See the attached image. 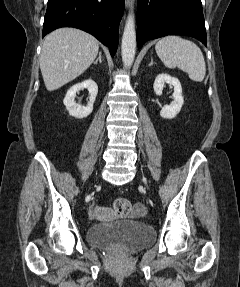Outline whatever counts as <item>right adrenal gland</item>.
<instances>
[{
    "label": "right adrenal gland",
    "instance_id": "1",
    "mask_svg": "<svg viewBox=\"0 0 240 287\" xmlns=\"http://www.w3.org/2000/svg\"><path fill=\"white\" fill-rule=\"evenodd\" d=\"M101 57H102V52L100 51V52H99V57L96 59V61L94 62V64H97L98 61H99V63H102Z\"/></svg>",
    "mask_w": 240,
    "mask_h": 287
}]
</instances>
